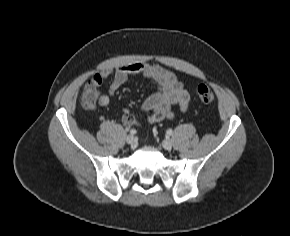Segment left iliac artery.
<instances>
[{"label": "left iliac artery", "mask_w": 290, "mask_h": 236, "mask_svg": "<svg viewBox=\"0 0 290 236\" xmlns=\"http://www.w3.org/2000/svg\"><path fill=\"white\" fill-rule=\"evenodd\" d=\"M173 131L171 129L167 130V135H172Z\"/></svg>", "instance_id": "1"}]
</instances>
